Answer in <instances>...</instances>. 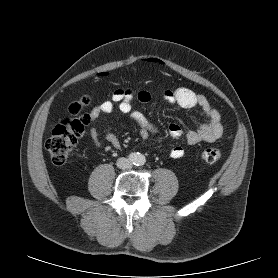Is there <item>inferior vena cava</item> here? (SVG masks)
Instances as JSON below:
<instances>
[{"label":"inferior vena cava","instance_id":"602c4592","mask_svg":"<svg viewBox=\"0 0 278 278\" xmlns=\"http://www.w3.org/2000/svg\"><path fill=\"white\" fill-rule=\"evenodd\" d=\"M116 165L120 169H129L132 166V163L129 159L121 157L117 160Z\"/></svg>","mask_w":278,"mask_h":278}]
</instances>
